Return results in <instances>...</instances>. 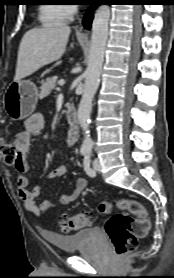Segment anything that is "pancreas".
<instances>
[{"label":"pancreas","mask_w":174,"mask_h":278,"mask_svg":"<svg viewBox=\"0 0 174 278\" xmlns=\"http://www.w3.org/2000/svg\"><path fill=\"white\" fill-rule=\"evenodd\" d=\"M56 83H57L56 77L48 78L42 81L41 83L42 85L40 87V94H39L40 99L47 97L50 94V92L55 88Z\"/></svg>","instance_id":"1"}]
</instances>
